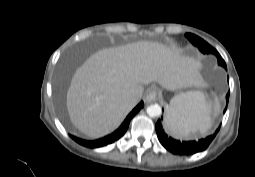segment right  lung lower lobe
I'll use <instances>...</instances> for the list:
<instances>
[{
  "instance_id": "right-lung-lower-lobe-1",
  "label": "right lung lower lobe",
  "mask_w": 255,
  "mask_h": 177,
  "mask_svg": "<svg viewBox=\"0 0 255 177\" xmlns=\"http://www.w3.org/2000/svg\"><path fill=\"white\" fill-rule=\"evenodd\" d=\"M144 106L143 102H140L131 112L130 114L126 117V119L124 120V122L121 124V126L114 131L112 134L107 135L103 138L97 139V140H93V141H89V140H83L80 138H77L75 136L71 135V138L73 140H75L77 143H79L82 146L88 147V148H98V147H102V146H106L109 144H112L114 142H116L118 139H120L125 132L128 129L129 123L131 121V119L133 118V116L138 113L140 111V109Z\"/></svg>"
}]
</instances>
